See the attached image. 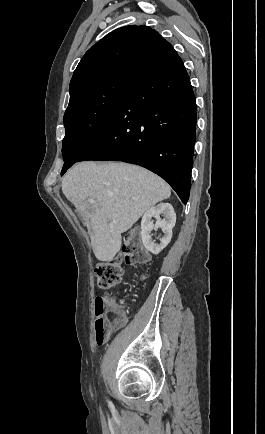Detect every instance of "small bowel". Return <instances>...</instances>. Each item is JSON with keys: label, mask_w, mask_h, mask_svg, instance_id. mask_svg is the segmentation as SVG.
I'll list each match as a JSON object with an SVG mask.
<instances>
[{"label": "small bowel", "mask_w": 265, "mask_h": 434, "mask_svg": "<svg viewBox=\"0 0 265 434\" xmlns=\"http://www.w3.org/2000/svg\"><path fill=\"white\" fill-rule=\"evenodd\" d=\"M126 322V317L123 315V318L121 319L120 323L118 325H114V328H117L119 326H122Z\"/></svg>", "instance_id": "small-bowel-1"}]
</instances>
